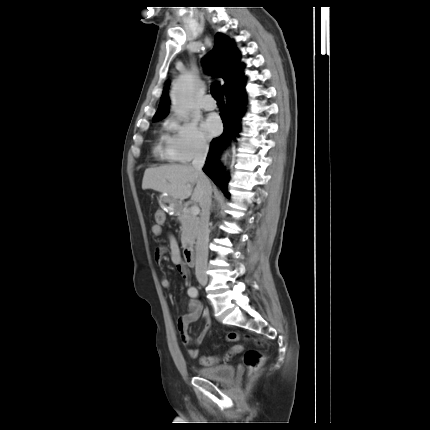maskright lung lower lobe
Returning <instances> with one entry per match:
<instances>
[{
  "mask_svg": "<svg viewBox=\"0 0 430 430\" xmlns=\"http://www.w3.org/2000/svg\"><path fill=\"white\" fill-rule=\"evenodd\" d=\"M225 95L226 108L220 113L224 123V132L220 137L212 141L203 170L228 197L229 194L226 190L227 176L226 173L223 172L222 166L218 164V152L225 147L231 138L237 135L240 130V118L244 113V109L241 106H244L242 103L246 99L244 80L234 88L228 89Z\"/></svg>",
  "mask_w": 430,
  "mask_h": 430,
  "instance_id": "right-lung-lower-lobe-1",
  "label": "right lung lower lobe"
}]
</instances>
